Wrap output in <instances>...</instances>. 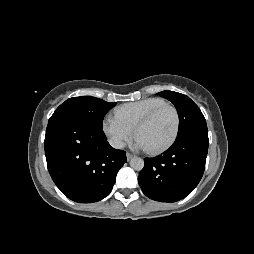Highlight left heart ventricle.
I'll return each mask as SVG.
<instances>
[{
	"label": "left heart ventricle",
	"mask_w": 254,
	"mask_h": 254,
	"mask_svg": "<svg viewBox=\"0 0 254 254\" xmlns=\"http://www.w3.org/2000/svg\"><path fill=\"white\" fill-rule=\"evenodd\" d=\"M175 125L174 113L170 108L162 109L148 124L137 133L148 149L164 144L172 135Z\"/></svg>",
	"instance_id": "1"
}]
</instances>
